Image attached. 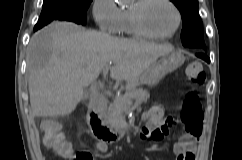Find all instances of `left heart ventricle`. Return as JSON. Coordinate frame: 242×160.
Masks as SVG:
<instances>
[{
	"label": "left heart ventricle",
	"mask_w": 242,
	"mask_h": 160,
	"mask_svg": "<svg viewBox=\"0 0 242 160\" xmlns=\"http://www.w3.org/2000/svg\"><path fill=\"white\" fill-rule=\"evenodd\" d=\"M142 18L146 28L155 34L172 32L177 22L175 11L164 0H152L149 2L142 12Z\"/></svg>",
	"instance_id": "b2bd125f"
}]
</instances>
